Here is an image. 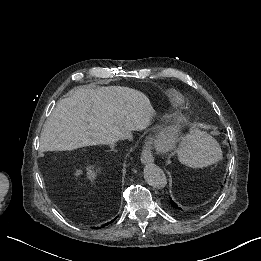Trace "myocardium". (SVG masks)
Segmentation results:
<instances>
[{
  "mask_svg": "<svg viewBox=\"0 0 261 261\" xmlns=\"http://www.w3.org/2000/svg\"><path fill=\"white\" fill-rule=\"evenodd\" d=\"M190 123L189 115L184 111L167 112L151 117L143 132V138L155 155L162 157L176 156L183 148ZM166 126L171 131L172 139L166 145H154L153 137L159 126Z\"/></svg>",
  "mask_w": 261,
  "mask_h": 261,
  "instance_id": "1",
  "label": "myocardium"
}]
</instances>
